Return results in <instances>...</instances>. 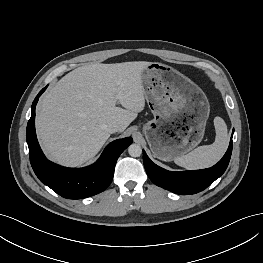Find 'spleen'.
Instances as JSON below:
<instances>
[{"instance_id": "3e777b00", "label": "spleen", "mask_w": 263, "mask_h": 263, "mask_svg": "<svg viewBox=\"0 0 263 263\" xmlns=\"http://www.w3.org/2000/svg\"><path fill=\"white\" fill-rule=\"evenodd\" d=\"M214 127L216 138L213 144L199 146L188 154L175 158V164L189 170L204 169L216 164L228 147L229 137L226 123L221 117L214 118Z\"/></svg>"}]
</instances>
